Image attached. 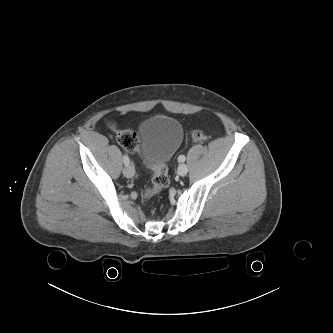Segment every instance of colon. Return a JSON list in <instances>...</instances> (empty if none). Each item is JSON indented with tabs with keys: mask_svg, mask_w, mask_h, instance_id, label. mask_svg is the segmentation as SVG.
I'll list each match as a JSON object with an SVG mask.
<instances>
[{
	"mask_svg": "<svg viewBox=\"0 0 333 333\" xmlns=\"http://www.w3.org/2000/svg\"><path fill=\"white\" fill-rule=\"evenodd\" d=\"M190 136L193 141H202L206 138L205 134L199 129L192 130ZM117 142L129 153H135L139 149V137L133 130L130 129L118 131ZM153 172L154 176L152 185L145 189L142 193V199L144 201H147L152 196L161 192L163 189L168 187L170 183L168 170L165 165H160L154 168Z\"/></svg>",
	"mask_w": 333,
	"mask_h": 333,
	"instance_id": "5ec220e1",
	"label": "colon"
}]
</instances>
